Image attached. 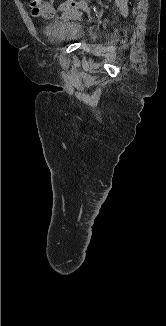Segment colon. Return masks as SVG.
Returning a JSON list of instances; mask_svg holds the SVG:
<instances>
[{"instance_id":"5ec220e1","label":"colon","mask_w":166,"mask_h":326,"mask_svg":"<svg viewBox=\"0 0 166 326\" xmlns=\"http://www.w3.org/2000/svg\"><path fill=\"white\" fill-rule=\"evenodd\" d=\"M81 7H83L82 2H76L75 0H68L59 6V10L62 13H68L76 9H80Z\"/></svg>"}]
</instances>
